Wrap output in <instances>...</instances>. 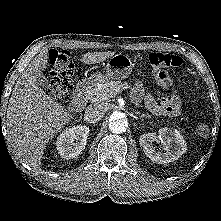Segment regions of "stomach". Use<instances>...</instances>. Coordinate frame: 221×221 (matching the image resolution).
I'll return each mask as SVG.
<instances>
[{"mask_svg": "<svg viewBox=\"0 0 221 221\" xmlns=\"http://www.w3.org/2000/svg\"><path fill=\"white\" fill-rule=\"evenodd\" d=\"M134 64L125 54H116L110 57L106 65L105 75L97 74L91 77L94 81H104L105 78L113 80H123L129 77Z\"/></svg>", "mask_w": 221, "mask_h": 221, "instance_id": "stomach-1", "label": "stomach"}]
</instances>
